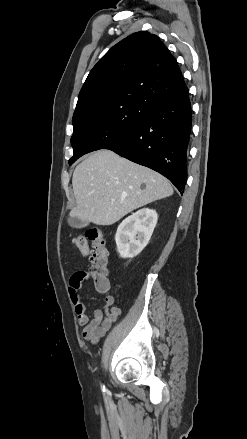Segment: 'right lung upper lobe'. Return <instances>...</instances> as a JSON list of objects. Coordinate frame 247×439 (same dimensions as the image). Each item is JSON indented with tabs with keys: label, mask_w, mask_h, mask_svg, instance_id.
Segmentation results:
<instances>
[{
	"label": "right lung upper lobe",
	"mask_w": 247,
	"mask_h": 439,
	"mask_svg": "<svg viewBox=\"0 0 247 439\" xmlns=\"http://www.w3.org/2000/svg\"><path fill=\"white\" fill-rule=\"evenodd\" d=\"M176 59L160 39L136 32L113 46L90 71L74 112L116 100L147 107L187 91Z\"/></svg>",
	"instance_id": "right-lung-upper-lobe-1"
}]
</instances>
